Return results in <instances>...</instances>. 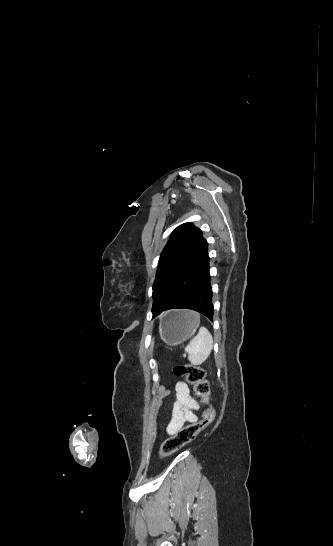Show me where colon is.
I'll return each instance as SVG.
<instances>
[{
	"instance_id": "5ec220e1",
	"label": "colon",
	"mask_w": 333,
	"mask_h": 546,
	"mask_svg": "<svg viewBox=\"0 0 333 546\" xmlns=\"http://www.w3.org/2000/svg\"><path fill=\"white\" fill-rule=\"evenodd\" d=\"M175 376L183 377L194 390V397L201 404L206 406L202 418L188 425L183 426L176 433L164 440L160 447V458L170 456L181 449L183 446L192 442L196 436L204 430L215 417L212 407L209 402V385L205 378V371L194 364L185 363L177 364L173 367Z\"/></svg>"
}]
</instances>
